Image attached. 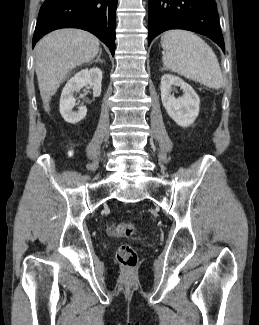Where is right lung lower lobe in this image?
Returning a JSON list of instances; mask_svg holds the SVG:
<instances>
[{
	"mask_svg": "<svg viewBox=\"0 0 259 325\" xmlns=\"http://www.w3.org/2000/svg\"><path fill=\"white\" fill-rule=\"evenodd\" d=\"M117 0H45L39 11L32 47L60 28H80L96 35L115 52Z\"/></svg>",
	"mask_w": 259,
	"mask_h": 325,
	"instance_id": "1",
	"label": "right lung lower lobe"
}]
</instances>
